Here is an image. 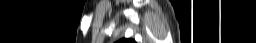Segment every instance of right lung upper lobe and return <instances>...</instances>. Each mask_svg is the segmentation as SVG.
Listing matches in <instances>:
<instances>
[{
  "instance_id": "cb5924a9",
  "label": "right lung upper lobe",
  "mask_w": 256,
  "mask_h": 43,
  "mask_svg": "<svg viewBox=\"0 0 256 43\" xmlns=\"http://www.w3.org/2000/svg\"><path fill=\"white\" fill-rule=\"evenodd\" d=\"M117 43H135V41L130 40V39H125V38H124V39L118 41Z\"/></svg>"
}]
</instances>
